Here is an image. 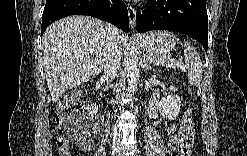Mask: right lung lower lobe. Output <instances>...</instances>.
Wrapping results in <instances>:
<instances>
[{
	"label": "right lung lower lobe",
	"mask_w": 247,
	"mask_h": 156,
	"mask_svg": "<svg viewBox=\"0 0 247 156\" xmlns=\"http://www.w3.org/2000/svg\"><path fill=\"white\" fill-rule=\"evenodd\" d=\"M74 14L96 17L125 32L129 30L127 7L121 0H46L41 35L54 21Z\"/></svg>",
	"instance_id": "1"
}]
</instances>
